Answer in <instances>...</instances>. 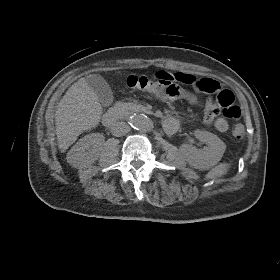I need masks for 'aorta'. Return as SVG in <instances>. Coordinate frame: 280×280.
<instances>
[{
  "instance_id": "obj_1",
  "label": "aorta",
  "mask_w": 280,
  "mask_h": 280,
  "mask_svg": "<svg viewBox=\"0 0 280 280\" xmlns=\"http://www.w3.org/2000/svg\"><path fill=\"white\" fill-rule=\"evenodd\" d=\"M129 124L136 130H151L153 123L150 119L144 114H132L129 117Z\"/></svg>"
}]
</instances>
